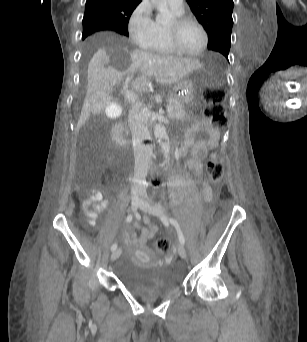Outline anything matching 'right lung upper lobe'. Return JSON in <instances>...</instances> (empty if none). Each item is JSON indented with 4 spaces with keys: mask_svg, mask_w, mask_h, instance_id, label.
Masks as SVG:
<instances>
[{
    "mask_svg": "<svg viewBox=\"0 0 307 342\" xmlns=\"http://www.w3.org/2000/svg\"><path fill=\"white\" fill-rule=\"evenodd\" d=\"M142 0H87L85 13L101 17L109 30L128 31L129 18Z\"/></svg>",
    "mask_w": 307,
    "mask_h": 342,
    "instance_id": "cb5924a9",
    "label": "right lung upper lobe"
}]
</instances>
